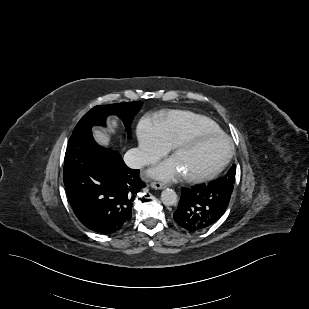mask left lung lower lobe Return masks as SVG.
<instances>
[{"label":"left lung lower lobe","instance_id":"0a47b994","mask_svg":"<svg viewBox=\"0 0 309 309\" xmlns=\"http://www.w3.org/2000/svg\"><path fill=\"white\" fill-rule=\"evenodd\" d=\"M233 188L214 182L181 189V199L173 218L189 232H199L215 224L225 213Z\"/></svg>","mask_w":309,"mask_h":309}]
</instances>
